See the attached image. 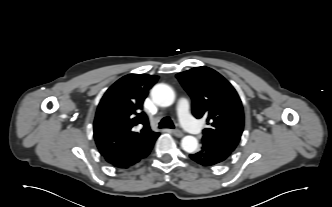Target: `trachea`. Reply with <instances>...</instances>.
<instances>
[{
    "label": "trachea",
    "mask_w": 332,
    "mask_h": 207,
    "mask_svg": "<svg viewBox=\"0 0 332 207\" xmlns=\"http://www.w3.org/2000/svg\"><path fill=\"white\" fill-rule=\"evenodd\" d=\"M159 128H174V124L169 117H164L159 123Z\"/></svg>",
    "instance_id": "1"
}]
</instances>
